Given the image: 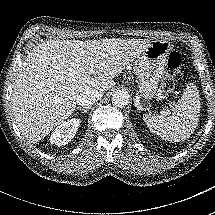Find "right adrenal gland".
Instances as JSON below:
<instances>
[{"mask_svg":"<svg viewBox=\"0 0 215 215\" xmlns=\"http://www.w3.org/2000/svg\"><path fill=\"white\" fill-rule=\"evenodd\" d=\"M89 108L91 107H88V108L77 107V110H79L82 114H87V109Z\"/></svg>","mask_w":215,"mask_h":215,"instance_id":"2a0ac1e0","label":"right adrenal gland"}]
</instances>
